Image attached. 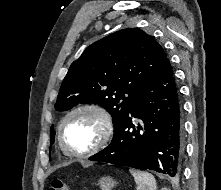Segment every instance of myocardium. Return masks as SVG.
<instances>
[{
	"instance_id": "1",
	"label": "myocardium",
	"mask_w": 221,
	"mask_h": 190,
	"mask_svg": "<svg viewBox=\"0 0 221 190\" xmlns=\"http://www.w3.org/2000/svg\"><path fill=\"white\" fill-rule=\"evenodd\" d=\"M84 111L94 113L99 118L101 124V130L99 137L93 146H91L90 148L84 151H76L69 148L65 144L63 139V128L70 117H72L73 115L79 112H84ZM113 132H114V121L110 112L100 104L84 103L69 110L61 119L58 126V141L62 150L66 154L74 157H86L103 149L111 139Z\"/></svg>"
}]
</instances>
